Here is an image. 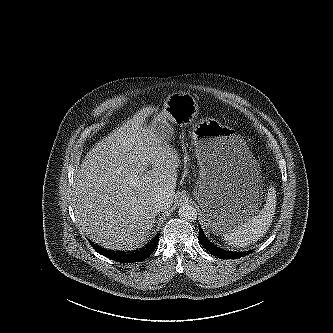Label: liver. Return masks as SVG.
I'll return each mask as SVG.
<instances>
[{
    "mask_svg": "<svg viewBox=\"0 0 333 333\" xmlns=\"http://www.w3.org/2000/svg\"><path fill=\"white\" fill-rule=\"evenodd\" d=\"M143 109L85 156L73 183V208L82 232L113 250L142 245L157 212L154 199L173 203L179 156L144 125ZM149 164L151 170H146Z\"/></svg>",
    "mask_w": 333,
    "mask_h": 333,
    "instance_id": "obj_1",
    "label": "liver"
}]
</instances>
